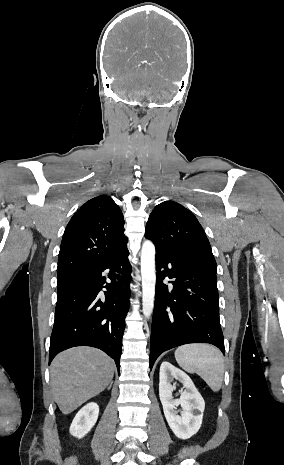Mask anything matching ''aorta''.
<instances>
[{
	"label": "aorta",
	"mask_w": 284,
	"mask_h": 465,
	"mask_svg": "<svg viewBox=\"0 0 284 465\" xmlns=\"http://www.w3.org/2000/svg\"><path fill=\"white\" fill-rule=\"evenodd\" d=\"M141 275H142V312L149 319L153 309L155 300V246L146 240L141 249Z\"/></svg>",
	"instance_id": "1"
}]
</instances>
